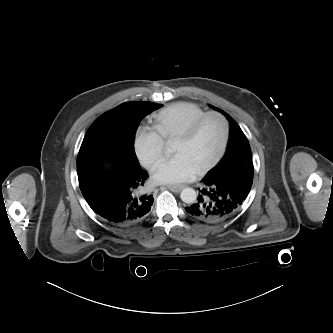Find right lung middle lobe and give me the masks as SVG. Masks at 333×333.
<instances>
[{"label": "right lung middle lobe", "mask_w": 333, "mask_h": 333, "mask_svg": "<svg viewBox=\"0 0 333 333\" xmlns=\"http://www.w3.org/2000/svg\"><path fill=\"white\" fill-rule=\"evenodd\" d=\"M162 106L152 102H128L101 115L88 129L77 160H105L139 166L133 136L141 120Z\"/></svg>", "instance_id": "obj_1"}]
</instances>
